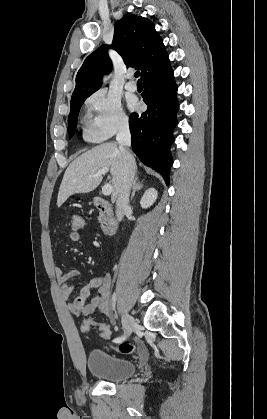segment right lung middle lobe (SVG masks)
<instances>
[{
	"instance_id": "right-lung-middle-lobe-1",
	"label": "right lung middle lobe",
	"mask_w": 267,
	"mask_h": 419,
	"mask_svg": "<svg viewBox=\"0 0 267 419\" xmlns=\"http://www.w3.org/2000/svg\"><path fill=\"white\" fill-rule=\"evenodd\" d=\"M89 96H85V97H80V98H76V99H71V109H70V114H69V127H68V134L70 137H72L75 133V129H76V125H77V119H78V114L80 111V108L82 106V104L84 103V101L86 100V98Z\"/></svg>"
}]
</instances>
